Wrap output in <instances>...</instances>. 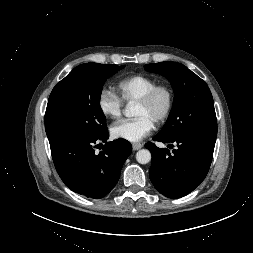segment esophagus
Segmentation results:
<instances>
[{
  "mask_svg": "<svg viewBox=\"0 0 253 253\" xmlns=\"http://www.w3.org/2000/svg\"><path fill=\"white\" fill-rule=\"evenodd\" d=\"M142 147H143V145L140 144V143H133V144H132V148H133L134 151L139 150V149H141Z\"/></svg>",
  "mask_w": 253,
  "mask_h": 253,
  "instance_id": "34e87169",
  "label": "esophagus"
}]
</instances>
